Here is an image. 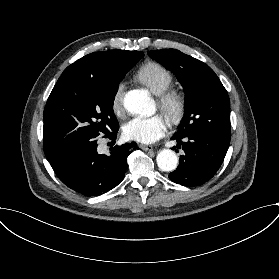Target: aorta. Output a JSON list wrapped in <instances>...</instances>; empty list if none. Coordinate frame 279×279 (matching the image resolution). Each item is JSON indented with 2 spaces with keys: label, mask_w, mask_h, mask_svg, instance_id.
Segmentation results:
<instances>
[{
  "label": "aorta",
  "mask_w": 279,
  "mask_h": 279,
  "mask_svg": "<svg viewBox=\"0 0 279 279\" xmlns=\"http://www.w3.org/2000/svg\"><path fill=\"white\" fill-rule=\"evenodd\" d=\"M124 107L132 114L150 116L154 113V104L144 90H131L124 98ZM157 165L162 171L171 172L177 167L178 158L171 149H163L157 155Z\"/></svg>",
  "instance_id": "762f6f07"
}]
</instances>
